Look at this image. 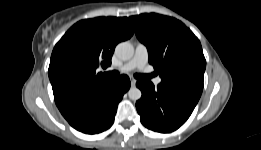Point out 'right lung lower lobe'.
<instances>
[{
	"label": "right lung lower lobe",
	"mask_w": 261,
	"mask_h": 150,
	"mask_svg": "<svg viewBox=\"0 0 261 150\" xmlns=\"http://www.w3.org/2000/svg\"><path fill=\"white\" fill-rule=\"evenodd\" d=\"M129 88V77L122 75L104 88L77 99L60 112L78 131L100 133L113 124L118 103Z\"/></svg>",
	"instance_id": "right-lung-lower-lobe-1"
}]
</instances>
